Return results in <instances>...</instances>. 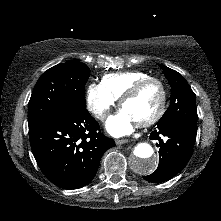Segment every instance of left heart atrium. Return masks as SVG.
<instances>
[{"instance_id": "obj_1", "label": "left heart atrium", "mask_w": 221, "mask_h": 221, "mask_svg": "<svg viewBox=\"0 0 221 221\" xmlns=\"http://www.w3.org/2000/svg\"><path fill=\"white\" fill-rule=\"evenodd\" d=\"M135 124L136 121L124 110H121L108 119L106 129L112 136L120 137L130 134Z\"/></svg>"}]
</instances>
